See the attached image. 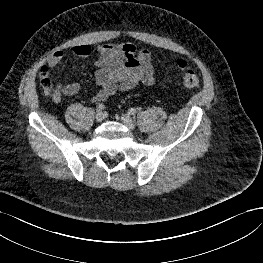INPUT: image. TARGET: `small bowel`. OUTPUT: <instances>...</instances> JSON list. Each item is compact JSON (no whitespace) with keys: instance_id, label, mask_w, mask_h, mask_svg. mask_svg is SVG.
<instances>
[{"instance_id":"small-bowel-1","label":"small bowel","mask_w":263,"mask_h":263,"mask_svg":"<svg viewBox=\"0 0 263 263\" xmlns=\"http://www.w3.org/2000/svg\"><path fill=\"white\" fill-rule=\"evenodd\" d=\"M92 51L98 54L95 62L96 83L99 91L92 97L94 102L108 99L116 92H126L139 85L150 86L155 81V67L151 53L134 43L120 44H78L71 48L70 54L78 59L87 57ZM66 58L64 51L53 53L48 66L53 68ZM80 91L77 82L58 84L52 94L55 103H61L64 97L74 96Z\"/></svg>"}]
</instances>
